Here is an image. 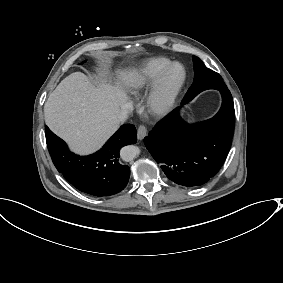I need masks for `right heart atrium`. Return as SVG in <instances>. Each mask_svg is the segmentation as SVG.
I'll list each match as a JSON object with an SVG mask.
<instances>
[{
    "mask_svg": "<svg viewBox=\"0 0 283 283\" xmlns=\"http://www.w3.org/2000/svg\"><path fill=\"white\" fill-rule=\"evenodd\" d=\"M116 96L120 101H125V95L121 91H116Z\"/></svg>",
    "mask_w": 283,
    "mask_h": 283,
    "instance_id": "right-heart-atrium-1",
    "label": "right heart atrium"
}]
</instances>
